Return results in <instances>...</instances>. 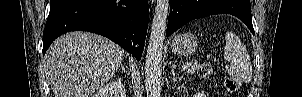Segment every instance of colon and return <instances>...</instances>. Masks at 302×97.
<instances>
[{"label":"colon","mask_w":302,"mask_h":97,"mask_svg":"<svg viewBox=\"0 0 302 97\" xmlns=\"http://www.w3.org/2000/svg\"><path fill=\"white\" fill-rule=\"evenodd\" d=\"M199 74L202 77L210 78L214 75V69L211 64L203 63L199 68ZM238 86L239 83L232 78H228L225 81V87L228 91H235L238 88Z\"/></svg>","instance_id":"colon-1"}]
</instances>
